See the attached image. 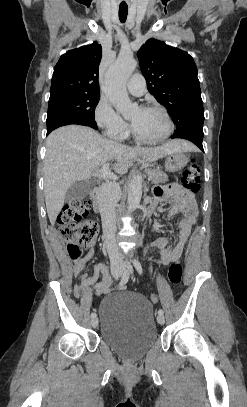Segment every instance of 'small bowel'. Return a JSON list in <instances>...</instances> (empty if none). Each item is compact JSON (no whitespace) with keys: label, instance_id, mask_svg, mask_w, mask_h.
Instances as JSON below:
<instances>
[{"label":"small bowel","instance_id":"c3829d8e","mask_svg":"<svg viewBox=\"0 0 247 407\" xmlns=\"http://www.w3.org/2000/svg\"><path fill=\"white\" fill-rule=\"evenodd\" d=\"M154 197L155 200L152 207H155L159 202H166L171 204L167 212L169 217H174L178 214L184 215V218L178 224V239L173 247L167 248L168 237L166 236H160L153 242L154 247L160 253L159 264L169 265L170 263L178 262L182 255L192 227L196 222V207L193 197L182 190L177 184H169L156 188L154 190ZM93 255L94 250L91 248L84 257L78 258L72 263V275L80 279V284L74 286L73 290L76 297H82L92 291L99 294L108 292L106 281L96 283L100 273L106 270L104 265H93L94 273L92 276H87L84 273V269Z\"/></svg>","mask_w":247,"mask_h":407}]
</instances>
